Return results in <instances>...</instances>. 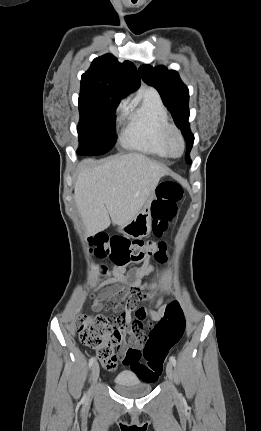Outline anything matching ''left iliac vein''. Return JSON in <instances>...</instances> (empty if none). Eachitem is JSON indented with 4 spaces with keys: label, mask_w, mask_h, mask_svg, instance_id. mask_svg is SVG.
I'll return each mask as SVG.
<instances>
[{
    "label": "left iliac vein",
    "mask_w": 261,
    "mask_h": 431,
    "mask_svg": "<svg viewBox=\"0 0 261 431\" xmlns=\"http://www.w3.org/2000/svg\"><path fill=\"white\" fill-rule=\"evenodd\" d=\"M166 374L172 385L173 392H176V389L174 387V369L171 362H168L166 365Z\"/></svg>",
    "instance_id": "1"
}]
</instances>
